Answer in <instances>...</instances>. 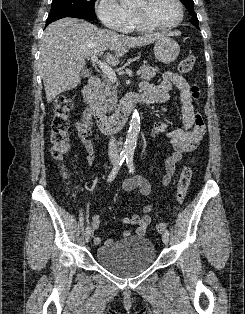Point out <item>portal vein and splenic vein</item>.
Instances as JSON below:
<instances>
[{
  "label": "portal vein and splenic vein",
  "mask_w": 245,
  "mask_h": 314,
  "mask_svg": "<svg viewBox=\"0 0 245 314\" xmlns=\"http://www.w3.org/2000/svg\"><path fill=\"white\" fill-rule=\"evenodd\" d=\"M91 61L99 66V68L105 73V75L108 77L110 81L112 82L117 81V76L113 69L107 63L100 61L97 55H93L91 57ZM136 74L137 76H139L141 74V71L140 70L137 71Z\"/></svg>",
  "instance_id": "18ae733b"
}]
</instances>
